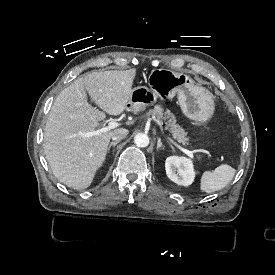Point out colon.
Listing matches in <instances>:
<instances>
[{
    "label": "colon",
    "mask_w": 275,
    "mask_h": 275,
    "mask_svg": "<svg viewBox=\"0 0 275 275\" xmlns=\"http://www.w3.org/2000/svg\"><path fill=\"white\" fill-rule=\"evenodd\" d=\"M222 107L225 110V113L227 116L232 117L235 115L236 110L233 107V104L231 101H229V100L224 101L222 104Z\"/></svg>",
    "instance_id": "obj_1"
}]
</instances>
